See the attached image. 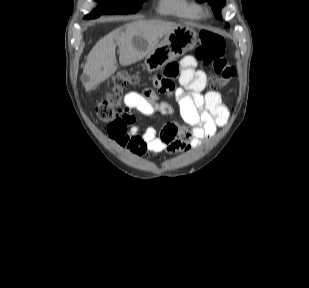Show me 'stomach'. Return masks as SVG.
Instances as JSON below:
<instances>
[{
  "label": "stomach",
  "mask_w": 309,
  "mask_h": 288,
  "mask_svg": "<svg viewBox=\"0 0 309 288\" xmlns=\"http://www.w3.org/2000/svg\"><path fill=\"white\" fill-rule=\"evenodd\" d=\"M196 42L197 33L192 27L178 25L161 40L152 53L145 57L147 70L152 72L161 69L193 49Z\"/></svg>",
  "instance_id": "1"
}]
</instances>
